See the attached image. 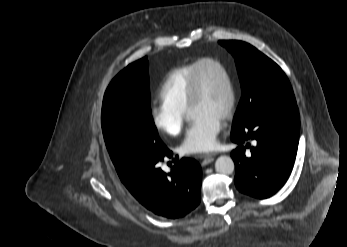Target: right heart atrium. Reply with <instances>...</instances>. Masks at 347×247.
<instances>
[{
  "label": "right heart atrium",
  "mask_w": 347,
  "mask_h": 247,
  "mask_svg": "<svg viewBox=\"0 0 347 247\" xmlns=\"http://www.w3.org/2000/svg\"><path fill=\"white\" fill-rule=\"evenodd\" d=\"M150 117L154 127L168 136H177L184 123V112L160 103L150 109Z\"/></svg>",
  "instance_id": "1"
}]
</instances>
